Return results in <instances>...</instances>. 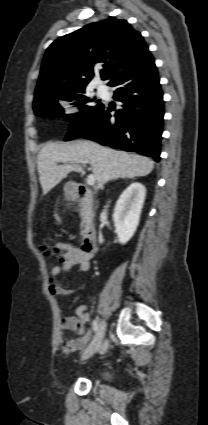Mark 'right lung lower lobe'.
<instances>
[{
	"label": "right lung lower lobe",
	"mask_w": 208,
	"mask_h": 425,
	"mask_svg": "<svg viewBox=\"0 0 208 425\" xmlns=\"http://www.w3.org/2000/svg\"><path fill=\"white\" fill-rule=\"evenodd\" d=\"M160 78L151 54L121 70L109 83L117 87L114 99L123 103L116 111L100 104L85 115L77 116L65 140L78 137L90 139L104 146L133 151L156 162L160 159L164 102Z\"/></svg>",
	"instance_id": "obj_1"
}]
</instances>
